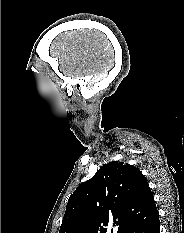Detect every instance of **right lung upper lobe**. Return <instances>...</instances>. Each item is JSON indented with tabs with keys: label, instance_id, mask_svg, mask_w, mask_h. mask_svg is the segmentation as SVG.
<instances>
[{
	"label": "right lung upper lobe",
	"instance_id": "obj_1",
	"mask_svg": "<svg viewBox=\"0 0 184 233\" xmlns=\"http://www.w3.org/2000/svg\"><path fill=\"white\" fill-rule=\"evenodd\" d=\"M154 204L140 170L113 161L70 196L59 233H107L112 222L118 226L117 233H123Z\"/></svg>",
	"mask_w": 184,
	"mask_h": 233
}]
</instances>
